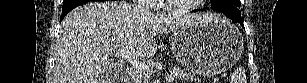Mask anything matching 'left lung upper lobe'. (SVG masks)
<instances>
[{
	"instance_id": "1",
	"label": "left lung upper lobe",
	"mask_w": 307,
	"mask_h": 83,
	"mask_svg": "<svg viewBox=\"0 0 307 83\" xmlns=\"http://www.w3.org/2000/svg\"><path fill=\"white\" fill-rule=\"evenodd\" d=\"M215 11H227L230 14L241 16L240 0H210Z\"/></svg>"
}]
</instances>
